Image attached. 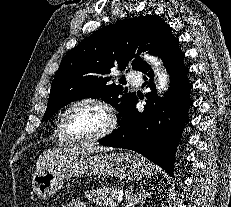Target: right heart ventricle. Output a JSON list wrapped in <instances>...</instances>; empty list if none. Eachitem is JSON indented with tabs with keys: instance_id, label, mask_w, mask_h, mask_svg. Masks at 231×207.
Masks as SVG:
<instances>
[{
	"instance_id": "1",
	"label": "right heart ventricle",
	"mask_w": 231,
	"mask_h": 207,
	"mask_svg": "<svg viewBox=\"0 0 231 207\" xmlns=\"http://www.w3.org/2000/svg\"><path fill=\"white\" fill-rule=\"evenodd\" d=\"M54 135L57 139V141L60 143V144H67V143H70L71 140H69L63 130H62V126H61V121H60V118L58 119L57 121V124H56V128H55V131H54Z\"/></svg>"
}]
</instances>
